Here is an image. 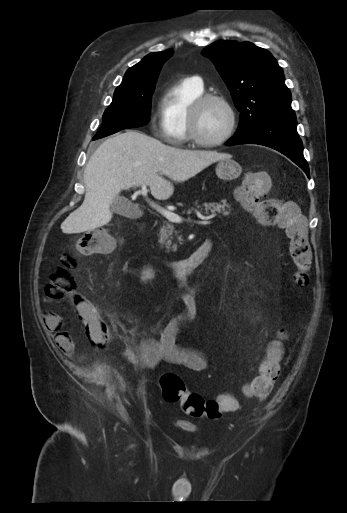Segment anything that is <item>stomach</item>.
Segmentation results:
<instances>
[{
    "mask_svg": "<svg viewBox=\"0 0 347 513\" xmlns=\"http://www.w3.org/2000/svg\"><path fill=\"white\" fill-rule=\"evenodd\" d=\"M215 172L219 179L230 181L240 176L242 173V167L232 158H226L218 162L215 168Z\"/></svg>",
    "mask_w": 347,
    "mask_h": 513,
    "instance_id": "stomach-1",
    "label": "stomach"
}]
</instances>
